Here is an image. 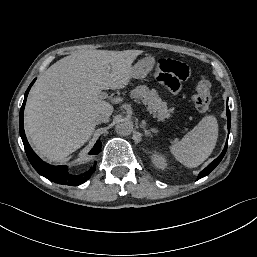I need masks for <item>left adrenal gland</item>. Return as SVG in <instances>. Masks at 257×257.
<instances>
[{"mask_svg":"<svg viewBox=\"0 0 257 257\" xmlns=\"http://www.w3.org/2000/svg\"><path fill=\"white\" fill-rule=\"evenodd\" d=\"M140 127L144 130V133H145L146 136H152L151 132L157 133V131H158V130L152 129V128L148 129L147 126H146V122L144 120L141 122Z\"/></svg>","mask_w":257,"mask_h":257,"instance_id":"1","label":"left adrenal gland"}]
</instances>
